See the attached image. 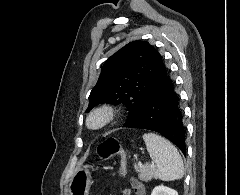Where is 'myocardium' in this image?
<instances>
[{"label":"myocardium","mask_w":240,"mask_h":195,"mask_svg":"<svg viewBox=\"0 0 240 195\" xmlns=\"http://www.w3.org/2000/svg\"><path fill=\"white\" fill-rule=\"evenodd\" d=\"M113 108L107 105L91 111L87 117L86 125L92 130H97L108 124L113 118Z\"/></svg>","instance_id":"1"}]
</instances>
